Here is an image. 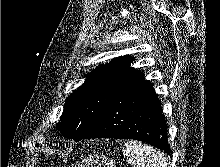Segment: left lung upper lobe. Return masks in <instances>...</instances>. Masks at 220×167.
<instances>
[{
    "label": "left lung upper lobe",
    "mask_w": 220,
    "mask_h": 167,
    "mask_svg": "<svg viewBox=\"0 0 220 167\" xmlns=\"http://www.w3.org/2000/svg\"><path fill=\"white\" fill-rule=\"evenodd\" d=\"M131 56L117 57L89 74L85 83L66 100L56 128L68 139L81 140L97 123L105 109L128 85L143 77L130 67Z\"/></svg>",
    "instance_id": "1"
}]
</instances>
